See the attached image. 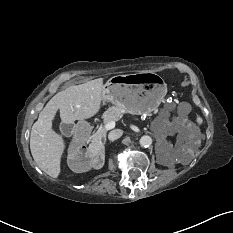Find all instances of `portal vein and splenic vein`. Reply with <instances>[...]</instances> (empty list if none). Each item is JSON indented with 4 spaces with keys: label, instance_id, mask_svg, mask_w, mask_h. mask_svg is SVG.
<instances>
[{
    "label": "portal vein and splenic vein",
    "instance_id": "obj_1",
    "mask_svg": "<svg viewBox=\"0 0 233 233\" xmlns=\"http://www.w3.org/2000/svg\"><path fill=\"white\" fill-rule=\"evenodd\" d=\"M105 129L106 130H111L115 127V121H109L108 123L105 124Z\"/></svg>",
    "mask_w": 233,
    "mask_h": 233
}]
</instances>
